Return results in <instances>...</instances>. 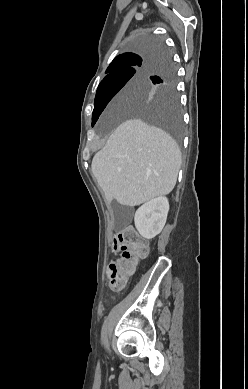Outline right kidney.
<instances>
[{"mask_svg": "<svg viewBox=\"0 0 248 389\" xmlns=\"http://www.w3.org/2000/svg\"><path fill=\"white\" fill-rule=\"evenodd\" d=\"M168 211L169 202L164 196L151 199L138 208L134 222L140 235L147 240L158 235L166 223Z\"/></svg>", "mask_w": 248, "mask_h": 389, "instance_id": "ca27d5eb", "label": "right kidney"}]
</instances>
